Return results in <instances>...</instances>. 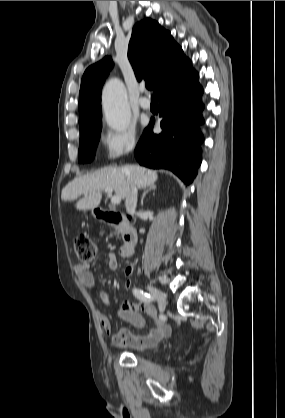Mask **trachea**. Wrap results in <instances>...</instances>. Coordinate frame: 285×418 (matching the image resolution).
I'll return each instance as SVG.
<instances>
[{
    "mask_svg": "<svg viewBox=\"0 0 285 418\" xmlns=\"http://www.w3.org/2000/svg\"><path fill=\"white\" fill-rule=\"evenodd\" d=\"M146 88H147L148 90H151V89L153 88V84H152V83H147V84H146Z\"/></svg>",
    "mask_w": 285,
    "mask_h": 418,
    "instance_id": "1",
    "label": "trachea"
}]
</instances>
